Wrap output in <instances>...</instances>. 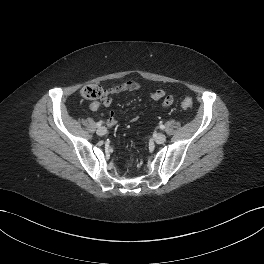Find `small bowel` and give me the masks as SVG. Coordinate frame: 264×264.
<instances>
[{
  "label": "small bowel",
  "instance_id": "obj_1",
  "mask_svg": "<svg viewBox=\"0 0 264 264\" xmlns=\"http://www.w3.org/2000/svg\"><path fill=\"white\" fill-rule=\"evenodd\" d=\"M142 89V84L135 80H129L117 84L111 88L105 90L104 96L99 101H94L90 103L89 107L92 111L98 110L101 106L108 107L111 105L112 99L114 96L123 93V92H132ZM148 95L154 100H162V108H169L174 101L172 95H167L163 89L149 90L147 91ZM107 124L109 126H114L116 124V116L113 111L109 113L107 118Z\"/></svg>",
  "mask_w": 264,
  "mask_h": 264
}]
</instances>
